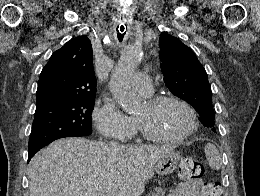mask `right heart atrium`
<instances>
[{
  "instance_id": "d8ad5b80",
  "label": "right heart atrium",
  "mask_w": 260,
  "mask_h": 196,
  "mask_svg": "<svg viewBox=\"0 0 260 196\" xmlns=\"http://www.w3.org/2000/svg\"><path fill=\"white\" fill-rule=\"evenodd\" d=\"M93 117L99 132L105 137H112L118 130H130L135 128L133 118L127 116L108 96H103L96 104ZM127 137L128 136H126V138ZM92 143L111 142L95 141Z\"/></svg>"
}]
</instances>
